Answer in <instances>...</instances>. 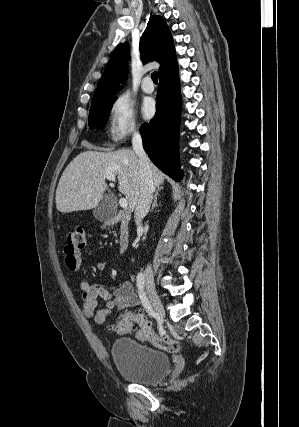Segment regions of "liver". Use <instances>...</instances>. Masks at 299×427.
<instances>
[{"mask_svg":"<svg viewBox=\"0 0 299 427\" xmlns=\"http://www.w3.org/2000/svg\"><path fill=\"white\" fill-rule=\"evenodd\" d=\"M154 186L161 189L164 174L150 163ZM106 173L117 176L119 191L125 195L130 211L140 192L139 160L134 151H85L76 156L64 170L56 190V207L62 213L90 210L103 199L107 190Z\"/></svg>","mask_w":299,"mask_h":427,"instance_id":"1","label":"liver"}]
</instances>
